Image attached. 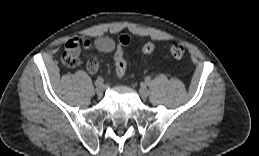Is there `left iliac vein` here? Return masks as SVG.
I'll return each instance as SVG.
<instances>
[{
  "label": "left iliac vein",
  "instance_id": "obj_1",
  "mask_svg": "<svg viewBox=\"0 0 259 156\" xmlns=\"http://www.w3.org/2000/svg\"><path fill=\"white\" fill-rule=\"evenodd\" d=\"M139 94L141 96V98L145 99L148 97L149 95V91L148 89L146 88V86H141L140 89H139Z\"/></svg>",
  "mask_w": 259,
  "mask_h": 156
}]
</instances>
